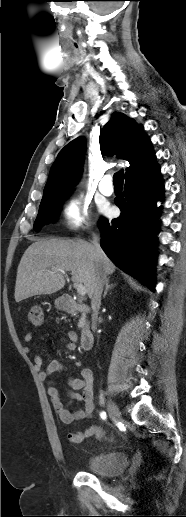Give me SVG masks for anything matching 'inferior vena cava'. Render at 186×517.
<instances>
[{"label":"inferior vena cava","mask_w":186,"mask_h":517,"mask_svg":"<svg viewBox=\"0 0 186 517\" xmlns=\"http://www.w3.org/2000/svg\"><path fill=\"white\" fill-rule=\"evenodd\" d=\"M93 246L95 248V251L97 253V257L101 258L103 256V251L100 247V244L98 242V238H93ZM107 281V275L103 271V269L100 267L96 272V277L94 279L93 283V296H92V328L95 330L97 327V318H98V309L101 303V295L103 291V286L106 284Z\"/></svg>","instance_id":"602c4592"}]
</instances>
